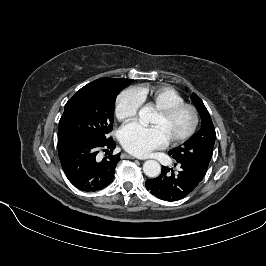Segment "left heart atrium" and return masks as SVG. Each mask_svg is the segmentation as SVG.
<instances>
[{
	"instance_id": "obj_1",
	"label": "left heart atrium",
	"mask_w": 266,
	"mask_h": 266,
	"mask_svg": "<svg viewBox=\"0 0 266 266\" xmlns=\"http://www.w3.org/2000/svg\"><path fill=\"white\" fill-rule=\"evenodd\" d=\"M168 140L160 127H145L137 122L125 125L120 131V142L124 149L139 157H146L152 151L163 148Z\"/></svg>"
}]
</instances>
